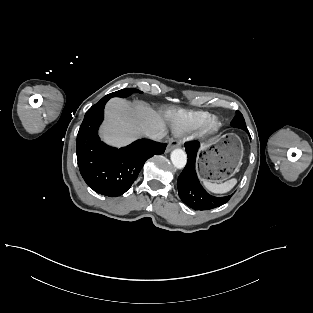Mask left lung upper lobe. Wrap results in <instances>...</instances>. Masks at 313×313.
I'll return each instance as SVG.
<instances>
[{"label": "left lung upper lobe", "mask_w": 313, "mask_h": 313, "mask_svg": "<svg viewBox=\"0 0 313 313\" xmlns=\"http://www.w3.org/2000/svg\"><path fill=\"white\" fill-rule=\"evenodd\" d=\"M231 126L235 128H240L244 131H248L245 120L241 112L237 111L234 119L231 122Z\"/></svg>", "instance_id": "1"}]
</instances>
